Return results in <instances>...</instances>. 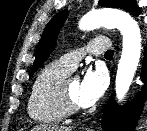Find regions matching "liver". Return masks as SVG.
Segmentation results:
<instances>
[{
    "instance_id": "6515ba94",
    "label": "liver",
    "mask_w": 147,
    "mask_h": 131,
    "mask_svg": "<svg viewBox=\"0 0 147 131\" xmlns=\"http://www.w3.org/2000/svg\"><path fill=\"white\" fill-rule=\"evenodd\" d=\"M31 131H72V128L65 126L59 127L57 125L40 124L33 127Z\"/></svg>"
}]
</instances>
